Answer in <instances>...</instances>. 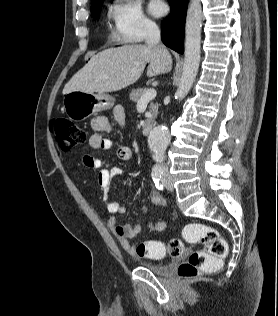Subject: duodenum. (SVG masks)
<instances>
[{"label": "duodenum", "instance_id": "obj_1", "mask_svg": "<svg viewBox=\"0 0 278 316\" xmlns=\"http://www.w3.org/2000/svg\"><path fill=\"white\" fill-rule=\"evenodd\" d=\"M153 129H154V124L153 123H149V124L144 125V127L142 129V132H143L144 135H149V134H151Z\"/></svg>", "mask_w": 278, "mask_h": 316}]
</instances>
